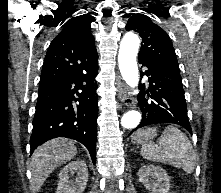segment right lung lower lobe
Segmentation results:
<instances>
[{
  "instance_id": "right-lung-lower-lobe-1",
  "label": "right lung lower lobe",
  "mask_w": 221,
  "mask_h": 193,
  "mask_svg": "<svg viewBox=\"0 0 221 193\" xmlns=\"http://www.w3.org/2000/svg\"><path fill=\"white\" fill-rule=\"evenodd\" d=\"M97 69L96 63L84 73L39 86L30 139L31 153L52 138L67 137L84 144L95 163L98 118L95 82ZM79 90L82 92L79 93ZM73 101L79 102V105H73Z\"/></svg>"
}]
</instances>
